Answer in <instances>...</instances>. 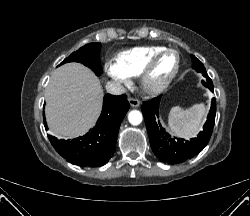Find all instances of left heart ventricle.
<instances>
[{
	"mask_svg": "<svg viewBox=\"0 0 250 216\" xmlns=\"http://www.w3.org/2000/svg\"><path fill=\"white\" fill-rule=\"evenodd\" d=\"M177 58L175 54L168 53L163 55L157 62L151 77L150 83L152 85L162 84L175 69Z\"/></svg>",
	"mask_w": 250,
	"mask_h": 216,
	"instance_id": "left-heart-ventricle-1",
	"label": "left heart ventricle"
}]
</instances>
